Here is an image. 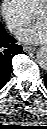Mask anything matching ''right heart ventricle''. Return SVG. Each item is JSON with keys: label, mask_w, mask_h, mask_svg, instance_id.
<instances>
[{"label": "right heart ventricle", "mask_w": 47, "mask_h": 129, "mask_svg": "<svg viewBox=\"0 0 47 129\" xmlns=\"http://www.w3.org/2000/svg\"><path fill=\"white\" fill-rule=\"evenodd\" d=\"M27 10L32 13L34 10L41 5L45 0H21Z\"/></svg>", "instance_id": "e07e8e85"}]
</instances>
